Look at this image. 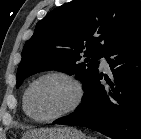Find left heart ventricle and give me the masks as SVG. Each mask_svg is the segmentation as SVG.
Here are the masks:
<instances>
[{"mask_svg": "<svg viewBox=\"0 0 141 139\" xmlns=\"http://www.w3.org/2000/svg\"><path fill=\"white\" fill-rule=\"evenodd\" d=\"M74 98L72 85L61 78L50 77L39 81L29 97L31 112L39 118H48L67 108Z\"/></svg>", "mask_w": 141, "mask_h": 139, "instance_id": "obj_1", "label": "left heart ventricle"}]
</instances>
